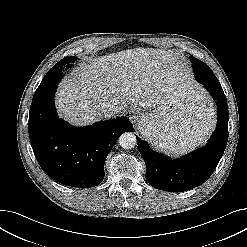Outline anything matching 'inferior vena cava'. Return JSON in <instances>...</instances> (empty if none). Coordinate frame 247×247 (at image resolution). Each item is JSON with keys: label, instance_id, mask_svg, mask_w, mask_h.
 Instances as JSON below:
<instances>
[{"label": "inferior vena cava", "instance_id": "602c4592", "mask_svg": "<svg viewBox=\"0 0 247 247\" xmlns=\"http://www.w3.org/2000/svg\"><path fill=\"white\" fill-rule=\"evenodd\" d=\"M119 111L118 107L115 106L114 104L107 103L102 107V114L105 117H112L115 114H117Z\"/></svg>", "mask_w": 247, "mask_h": 247}]
</instances>
